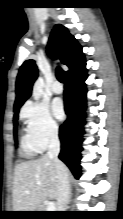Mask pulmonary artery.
I'll return each instance as SVG.
<instances>
[{
    "instance_id": "obj_1",
    "label": "pulmonary artery",
    "mask_w": 123,
    "mask_h": 219,
    "mask_svg": "<svg viewBox=\"0 0 123 219\" xmlns=\"http://www.w3.org/2000/svg\"><path fill=\"white\" fill-rule=\"evenodd\" d=\"M51 91L54 94H61L63 92V87L58 81H56L52 84Z\"/></svg>"
}]
</instances>
